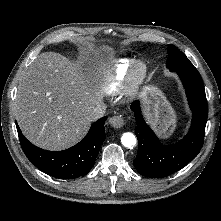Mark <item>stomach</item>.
I'll use <instances>...</instances> for the list:
<instances>
[{
	"label": "stomach",
	"mask_w": 221,
	"mask_h": 221,
	"mask_svg": "<svg viewBox=\"0 0 221 221\" xmlns=\"http://www.w3.org/2000/svg\"><path fill=\"white\" fill-rule=\"evenodd\" d=\"M142 96L148 122L162 139L169 138L175 131L177 117L166 96L154 85L145 86Z\"/></svg>",
	"instance_id": "obj_1"
}]
</instances>
